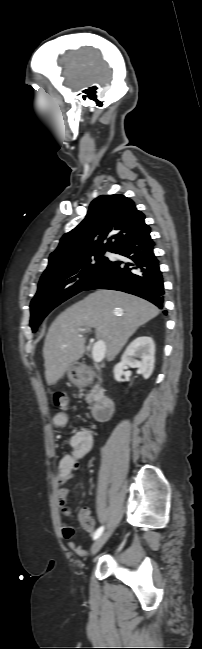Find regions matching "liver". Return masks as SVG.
Listing matches in <instances>:
<instances>
[{"label":"liver","instance_id":"obj_1","mask_svg":"<svg viewBox=\"0 0 202 649\" xmlns=\"http://www.w3.org/2000/svg\"><path fill=\"white\" fill-rule=\"evenodd\" d=\"M160 310L137 296L113 290H97L65 309L51 324L43 346L45 378L54 385L85 352L84 328H95L105 343L109 361L120 352L136 329Z\"/></svg>","mask_w":202,"mask_h":649}]
</instances>
